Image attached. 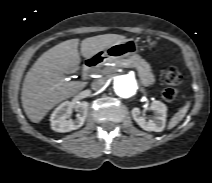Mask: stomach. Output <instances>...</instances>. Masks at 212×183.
<instances>
[{"instance_id": "1", "label": "stomach", "mask_w": 212, "mask_h": 183, "mask_svg": "<svg viewBox=\"0 0 212 183\" xmlns=\"http://www.w3.org/2000/svg\"><path fill=\"white\" fill-rule=\"evenodd\" d=\"M147 46L149 48H156L158 47V42L148 39ZM137 50L138 44L133 38L123 39L106 47L102 52V57L107 61H115L130 57V55L136 53Z\"/></svg>"}]
</instances>
